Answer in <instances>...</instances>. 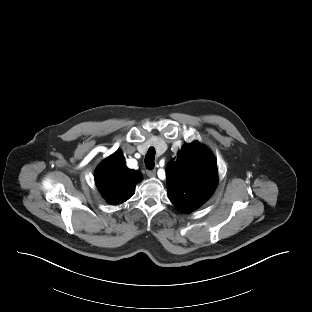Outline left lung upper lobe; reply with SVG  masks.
Returning <instances> with one entry per match:
<instances>
[{
	"label": "left lung upper lobe",
	"mask_w": 312,
	"mask_h": 312,
	"mask_svg": "<svg viewBox=\"0 0 312 312\" xmlns=\"http://www.w3.org/2000/svg\"><path fill=\"white\" fill-rule=\"evenodd\" d=\"M167 191L173 205L183 212L200 207L218 183L217 164L209 149L188 144L166 167Z\"/></svg>",
	"instance_id": "obj_1"
}]
</instances>
